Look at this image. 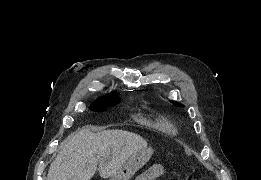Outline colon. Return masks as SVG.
Wrapping results in <instances>:
<instances>
[{
	"mask_svg": "<svg viewBox=\"0 0 261 180\" xmlns=\"http://www.w3.org/2000/svg\"><path fill=\"white\" fill-rule=\"evenodd\" d=\"M188 179H192V177H191V176H189V177H188Z\"/></svg>",
	"mask_w": 261,
	"mask_h": 180,
	"instance_id": "1",
	"label": "colon"
}]
</instances>
